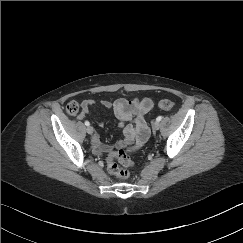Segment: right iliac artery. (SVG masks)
<instances>
[{
  "instance_id": "obj_1",
  "label": "right iliac artery",
  "mask_w": 243,
  "mask_h": 243,
  "mask_svg": "<svg viewBox=\"0 0 243 243\" xmlns=\"http://www.w3.org/2000/svg\"><path fill=\"white\" fill-rule=\"evenodd\" d=\"M85 125H86V126H89L90 123H89L88 121H85Z\"/></svg>"
}]
</instances>
